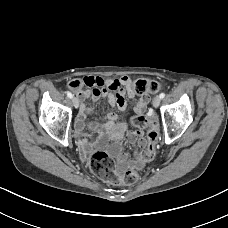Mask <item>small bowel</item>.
I'll return each mask as SVG.
<instances>
[{"instance_id": "1", "label": "small bowel", "mask_w": 228, "mask_h": 228, "mask_svg": "<svg viewBox=\"0 0 228 228\" xmlns=\"http://www.w3.org/2000/svg\"><path fill=\"white\" fill-rule=\"evenodd\" d=\"M80 81L82 88L77 90L76 94L82 104L75 122L79 145L85 150L89 147V142L84 137V131L87 130L98 134V143L100 145H106L109 140H120L125 137L129 143H138L141 148H144L146 144L144 131L142 129L128 130L126 122L124 121L127 111V98L134 100L137 94L134 88V82L127 76L117 79L87 76ZM89 97H91L94 102L100 98L106 99L112 109L101 123H86V115L89 109L84 105V101ZM148 102L149 96L142 95L135 104V115H143ZM114 110H119L120 115L116 114ZM108 149L111 154L116 157L120 168L127 166L141 168L144 165V162L138 160L128 163L127 154L122 151V147L119 143L110 145Z\"/></svg>"}]
</instances>
